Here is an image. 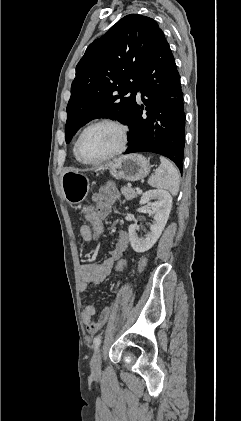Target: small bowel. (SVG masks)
I'll return each instance as SVG.
<instances>
[{"mask_svg":"<svg viewBox=\"0 0 241 421\" xmlns=\"http://www.w3.org/2000/svg\"><path fill=\"white\" fill-rule=\"evenodd\" d=\"M119 198L118 190L110 185L102 188L94 195L96 214L103 220L112 211L114 204ZM80 236L84 241L90 239V228L88 225L80 227ZM129 246V235L126 231L118 233L115 245L109 252L108 257L100 262L85 263L80 268V291L86 296V291L90 283L99 284L110 274L115 261L120 259ZM110 308L104 309L99 317L94 320L95 307L89 303L82 312V321L88 333H95L109 318Z\"/></svg>","mask_w":241,"mask_h":421,"instance_id":"small-bowel-1","label":"small bowel"}]
</instances>
